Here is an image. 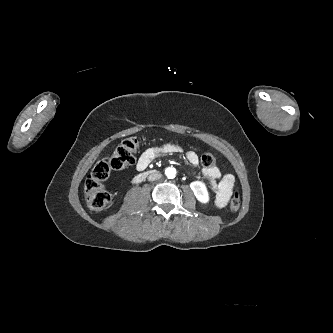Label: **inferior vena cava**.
<instances>
[{"label": "inferior vena cava", "mask_w": 333, "mask_h": 333, "mask_svg": "<svg viewBox=\"0 0 333 333\" xmlns=\"http://www.w3.org/2000/svg\"><path fill=\"white\" fill-rule=\"evenodd\" d=\"M161 176L162 175L160 173H152V174L149 175L148 180L149 181L158 180V179L161 178Z\"/></svg>", "instance_id": "602c4592"}]
</instances>
